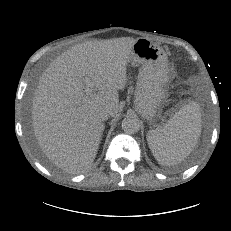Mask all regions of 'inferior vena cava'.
<instances>
[{
  "mask_svg": "<svg viewBox=\"0 0 231 231\" xmlns=\"http://www.w3.org/2000/svg\"><path fill=\"white\" fill-rule=\"evenodd\" d=\"M110 116V110L108 108H103L98 113V119L100 121H106Z\"/></svg>",
  "mask_w": 231,
  "mask_h": 231,
  "instance_id": "inferior-vena-cava-1",
  "label": "inferior vena cava"
}]
</instances>
